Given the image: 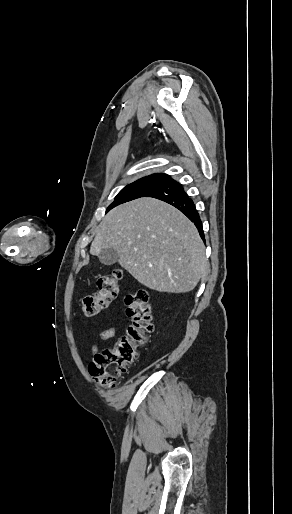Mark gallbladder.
I'll list each match as a JSON object with an SVG mask.
<instances>
[{
  "label": "gallbladder",
  "mask_w": 292,
  "mask_h": 514,
  "mask_svg": "<svg viewBox=\"0 0 292 514\" xmlns=\"http://www.w3.org/2000/svg\"><path fill=\"white\" fill-rule=\"evenodd\" d=\"M98 258L101 264H105V266H111V264H116L118 260L116 250H114V248H103L100 254H98Z\"/></svg>",
  "instance_id": "1"
}]
</instances>
